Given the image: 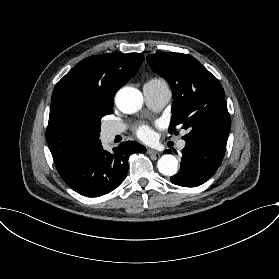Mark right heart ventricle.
<instances>
[{
  "mask_svg": "<svg viewBox=\"0 0 279 279\" xmlns=\"http://www.w3.org/2000/svg\"><path fill=\"white\" fill-rule=\"evenodd\" d=\"M155 79H158V78H153L152 80H155ZM152 80H150V81H152Z\"/></svg>",
  "mask_w": 279,
  "mask_h": 279,
  "instance_id": "1",
  "label": "right heart ventricle"
}]
</instances>
